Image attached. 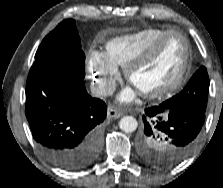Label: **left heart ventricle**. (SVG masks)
<instances>
[{"mask_svg": "<svg viewBox=\"0 0 223 188\" xmlns=\"http://www.w3.org/2000/svg\"><path fill=\"white\" fill-rule=\"evenodd\" d=\"M184 58V42L169 37L132 75V85L139 91H153L170 82L178 73Z\"/></svg>", "mask_w": 223, "mask_h": 188, "instance_id": "obj_1", "label": "left heart ventricle"}]
</instances>
